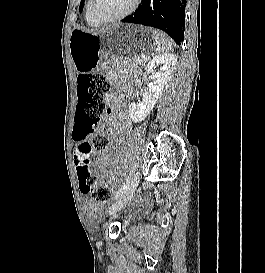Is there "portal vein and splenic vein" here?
I'll return each mask as SVG.
<instances>
[{
	"instance_id": "obj_1",
	"label": "portal vein and splenic vein",
	"mask_w": 265,
	"mask_h": 273,
	"mask_svg": "<svg viewBox=\"0 0 265 273\" xmlns=\"http://www.w3.org/2000/svg\"><path fill=\"white\" fill-rule=\"evenodd\" d=\"M142 57H143V59H146V56H145V55H143Z\"/></svg>"
}]
</instances>
